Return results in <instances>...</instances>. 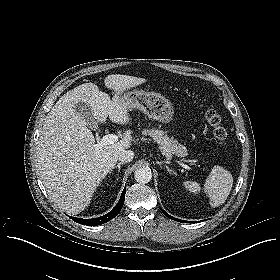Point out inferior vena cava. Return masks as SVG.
I'll return each mask as SVG.
<instances>
[{
  "label": "inferior vena cava",
  "instance_id": "602c4592",
  "mask_svg": "<svg viewBox=\"0 0 280 280\" xmlns=\"http://www.w3.org/2000/svg\"><path fill=\"white\" fill-rule=\"evenodd\" d=\"M134 157V152L131 150H123L119 153L118 159L123 162V163H127L132 161Z\"/></svg>",
  "mask_w": 280,
  "mask_h": 280
}]
</instances>
